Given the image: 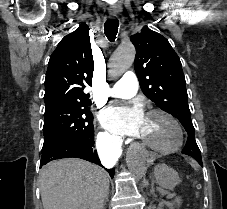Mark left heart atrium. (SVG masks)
Returning <instances> with one entry per match:
<instances>
[{"mask_svg": "<svg viewBox=\"0 0 227 209\" xmlns=\"http://www.w3.org/2000/svg\"><path fill=\"white\" fill-rule=\"evenodd\" d=\"M102 125L116 134H136L145 121L143 105L135 101L131 105L112 104L100 116Z\"/></svg>", "mask_w": 227, "mask_h": 209, "instance_id": "39dd6f15", "label": "left heart atrium"}]
</instances>
